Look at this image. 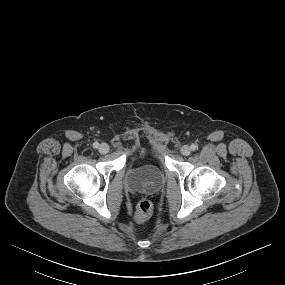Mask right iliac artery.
I'll use <instances>...</instances> for the list:
<instances>
[{
  "mask_svg": "<svg viewBox=\"0 0 285 285\" xmlns=\"http://www.w3.org/2000/svg\"><path fill=\"white\" fill-rule=\"evenodd\" d=\"M93 147H94V148H98V147H99V143H98V142H94V143H93Z\"/></svg>",
  "mask_w": 285,
  "mask_h": 285,
  "instance_id": "obj_1",
  "label": "right iliac artery"
}]
</instances>
